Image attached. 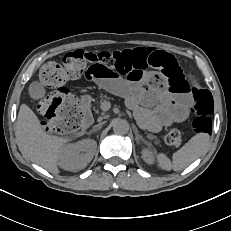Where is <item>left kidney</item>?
Here are the masks:
<instances>
[{"instance_id":"1","label":"left kidney","mask_w":231,"mask_h":231,"mask_svg":"<svg viewBox=\"0 0 231 231\" xmlns=\"http://www.w3.org/2000/svg\"><path fill=\"white\" fill-rule=\"evenodd\" d=\"M142 158L146 163L152 164V162H153L152 151L148 148L143 149L142 150Z\"/></svg>"}]
</instances>
